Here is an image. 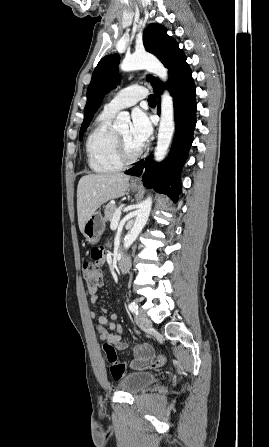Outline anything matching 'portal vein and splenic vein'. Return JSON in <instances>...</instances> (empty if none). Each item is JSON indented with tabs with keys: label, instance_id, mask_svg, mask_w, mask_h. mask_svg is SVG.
<instances>
[{
	"label": "portal vein and splenic vein",
	"instance_id": "18ae733b",
	"mask_svg": "<svg viewBox=\"0 0 269 447\" xmlns=\"http://www.w3.org/2000/svg\"><path fill=\"white\" fill-rule=\"evenodd\" d=\"M127 207V204L125 202H122L121 204H119L117 206L118 210H115L113 217H112V222L110 224L111 229H117V226L120 225L121 223V212L123 209H125Z\"/></svg>",
	"mask_w": 269,
	"mask_h": 447
}]
</instances>
